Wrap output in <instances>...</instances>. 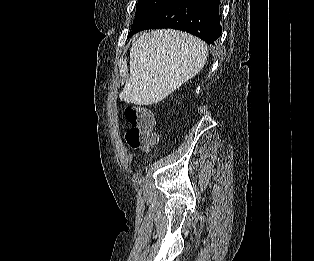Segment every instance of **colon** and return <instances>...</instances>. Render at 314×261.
Instances as JSON below:
<instances>
[{
	"instance_id": "obj_1",
	"label": "colon",
	"mask_w": 314,
	"mask_h": 261,
	"mask_svg": "<svg viewBox=\"0 0 314 261\" xmlns=\"http://www.w3.org/2000/svg\"><path fill=\"white\" fill-rule=\"evenodd\" d=\"M124 117L130 125L125 139L131 149H148L157 139L152 112L143 106L127 105Z\"/></svg>"
}]
</instances>
